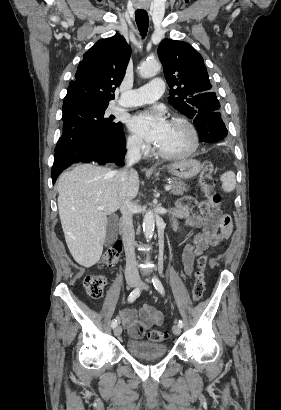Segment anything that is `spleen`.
I'll return each instance as SVG.
<instances>
[{
	"instance_id": "spleen-1",
	"label": "spleen",
	"mask_w": 281,
	"mask_h": 410,
	"mask_svg": "<svg viewBox=\"0 0 281 410\" xmlns=\"http://www.w3.org/2000/svg\"><path fill=\"white\" fill-rule=\"evenodd\" d=\"M222 189L224 192H231L236 187L235 174L232 171L225 172L221 175Z\"/></svg>"
}]
</instances>
